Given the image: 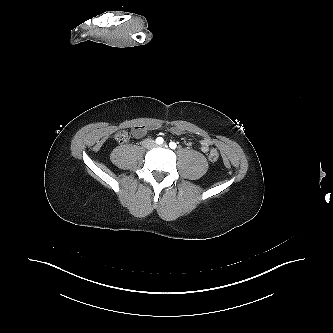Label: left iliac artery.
<instances>
[{"label":"left iliac artery","instance_id":"left-iliac-artery-1","mask_svg":"<svg viewBox=\"0 0 333 333\" xmlns=\"http://www.w3.org/2000/svg\"><path fill=\"white\" fill-rule=\"evenodd\" d=\"M169 147H170L171 149H176L177 145H176L175 142H170V143H169Z\"/></svg>","mask_w":333,"mask_h":333}]
</instances>
